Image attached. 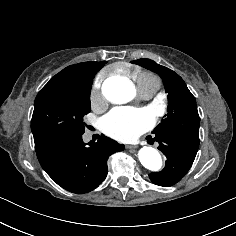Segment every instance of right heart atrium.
I'll list each match as a JSON object with an SVG mask.
<instances>
[{
  "label": "right heart atrium",
  "mask_w": 236,
  "mask_h": 236,
  "mask_svg": "<svg viewBox=\"0 0 236 236\" xmlns=\"http://www.w3.org/2000/svg\"><path fill=\"white\" fill-rule=\"evenodd\" d=\"M103 80H104V75L101 74L96 78V80L94 82L93 93H94L96 98L101 97V85L103 83Z\"/></svg>",
  "instance_id": "1"
}]
</instances>
